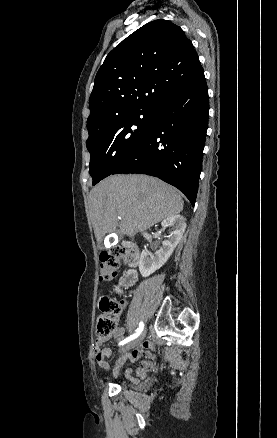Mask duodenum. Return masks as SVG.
<instances>
[{"instance_id":"1","label":"duodenum","mask_w":277,"mask_h":438,"mask_svg":"<svg viewBox=\"0 0 277 438\" xmlns=\"http://www.w3.org/2000/svg\"><path fill=\"white\" fill-rule=\"evenodd\" d=\"M125 247L129 250H136V247L132 243H125ZM136 265H137V257L131 261V263H130L131 269H129L127 272H125V274L121 280V284L123 285V287L128 288L135 283V281L137 279V273L134 270V267Z\"/></svg>"}]
</instances>
